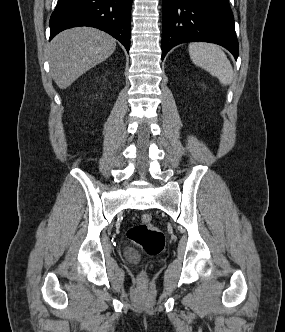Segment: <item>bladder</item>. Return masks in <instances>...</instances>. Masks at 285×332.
I'll return each instance as SVG.
<instances>
[{
	"label": "bladder",
	"mask_w": 285,
	"mask_h": 332,
	"mask_svg": "<svg viewBox=\"0 0 285 332\" xmlns=\"http://www.w3.org/2000/svg\"><path fill=\"white\" fill-rule=\"evenodd\" d=\"M137 256H138L137 252L131 248H127L124 250V257L128 261H134L137 258Z\"/></svg>",
	"instance_id": "bladder-1"
}]
</instances>
